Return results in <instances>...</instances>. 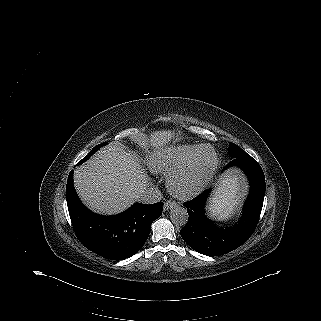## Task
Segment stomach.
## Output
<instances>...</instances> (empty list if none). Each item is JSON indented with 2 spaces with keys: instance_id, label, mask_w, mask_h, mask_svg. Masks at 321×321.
<instances>
[{
  "instance_id": "stomach-1",
  "label": "stomach",
  "mask_w": 321,
  "mask_h": 321,
  "mask_svg": "<svg viewBox=\"0 0 321 321\" xmlns=\"http://www.w3.org/2000/svg\"><path fill=\"white\" fill-rule=\"evenodd\" d=\"M227 190L226 198H229L230 201L233 203H236L239 198L242 196V192L244 191V187L242 183L238 180V176L235 173H228L224 176V178L221 181V185L218 188L216 194L221 190ZM215 194V196H216Z\"/></svg>"
}]
</instances>
